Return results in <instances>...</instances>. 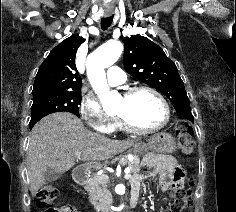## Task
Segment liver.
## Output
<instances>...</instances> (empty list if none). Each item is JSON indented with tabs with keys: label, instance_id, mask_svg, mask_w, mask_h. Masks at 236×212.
Masks as SVG:
<instances>
[{
	"label": "liver",
	"instance_id": "1",
	"mask_svg": "<svg viewBox=\"0 0 236 212\" xmlns=\"http://www.w3.org/2000/svg\"><path fill=\"white\" fill-rule=\"evenodd\" d=\"M141 142L111 140L86 129L82 121L68 112H57L41 119L32 129L27 151V170L32 196L45 184L43 172L51 168L64 173L82 161H103ZM75 152H80L77 157ZM101 164H97L100 167Z\"/></svg>",
	"mask_w": 236,
	"mask_h": 212
}]
</instances>
